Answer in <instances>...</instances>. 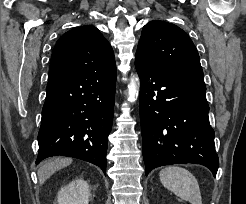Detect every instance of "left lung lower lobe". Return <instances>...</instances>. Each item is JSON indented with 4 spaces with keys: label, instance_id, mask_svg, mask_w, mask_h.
<instances>
[{
    "label": "left lung lower lobe",
    "instance_id": "1",
    "mask_svg": "<svg viewBox=\"0 0 246 204\" xmlns=\"http://www.w3.org/2000/svg\"><path fill=\"white\" fill-rule=\"evenodd\" d=\"M146 175L159 166L196 163L216 176L219 160L203 80L135 63Z\"/></svg>",
    "mask_w": 246,
    "mask_h": 204
}]
</instances>
